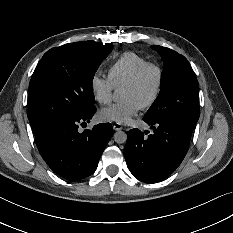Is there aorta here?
<instances>
[{"instance_id":"aorta-1","label":"aorta","mask_w":233,"mask_h":233,"mask_svg":"<svg viewBox=\"0 0 233 233\" xmlns=\"http://www.w3.org/2000/svg\"><path fill=\"white\" fill-rule=\"evenodd\" d=\"M114 95H116V92H114ZM115 100H116V97H115ZM113 137H114V141L118 144L125 143L127 140V134L121 130L117 131Z\"/></svg>"}]
</instances>
